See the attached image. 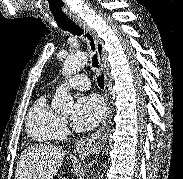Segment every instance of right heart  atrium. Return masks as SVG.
<instances>
[{
    "label": "right heart atrium",
    "instance_id": "d8ad5b80",
    "mask_svg": "<svg viewBox=\"0 0 183 179\" xmlns=\"http://www.w3.org/2000/svg\"><path fill=\"white\" fill-rule=\"evenodd\" d=\"M67 132V123L65 119L59 117L55 124V134L64 135Z\"/></svg>",
    "mask_w": 183,
    "mask_h": 179
}]
</instances>
